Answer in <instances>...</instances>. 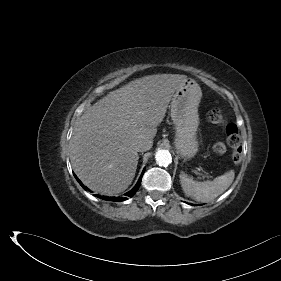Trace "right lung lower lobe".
<instances>
[{
	"label": "right lung lower lobe",
	"instance_id": "1",
	"mask_svg": "<svg viewBox=\"0 0 281 281\" xmlns=\"http://www.w3.org/2000/svg\"><path fill=\"white\" fill-rule=\"evenodd\" d=\"M143 173H144V170H143L137 184L129 192H127L125 194L126 197H122V198L121 197H107V196H101L99 194H96L95 196L99 197L103 200H107V201H125V200H127L128 197H132L137 192V190L139 189ZM74 176H75L76 180L79 182V184L83 187L84 190H89L86 186L83 185V183L78 179V177L75 174H74Z\"/></svg>",
	"mask_w": 281,
	"mask_h": 281
}]
</instances>
